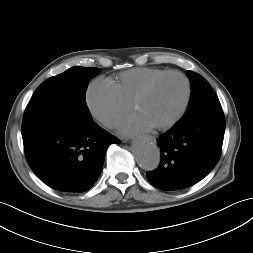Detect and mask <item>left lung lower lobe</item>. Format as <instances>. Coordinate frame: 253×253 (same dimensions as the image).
I'll return each mask as SVG.
<instances>
[{"label":"left lung lower lobe","instance_id":"1","mask_svg":"<svg viewBox=\"0 0 253 253\" xmlns=\"http://www.w3.org/2000/svg\"><path fill=\"white\" fill-rule=\"evenodd\" d=\"M224 131V118L178 121L157 139L161 162L147 173L150 184L161 190H179L203 179L220 158Z\"/></svg>","mask_w":253,"mask_h":253}]
</instances>
